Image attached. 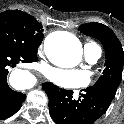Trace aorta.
<instances>
[{
	"instance_id": "1",
	"label": "aorta",
	"mask_w": 124,
	"mask_h": 124,
	"mask_svg": "<svg viewBox=\"0 0 124 124\" xmlns=\"http://www.w3.org/2000/svg\"><path fill=\"white\" fill-rule=\"evenodd\" d=\"M44 51L53 64L64 68L76 66L83 52L79 39L65 31L48 34L44 41Z\"/></svg>"
}]
</instances>
